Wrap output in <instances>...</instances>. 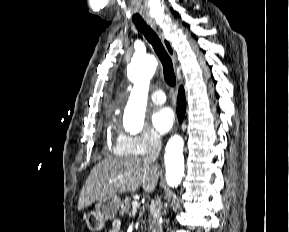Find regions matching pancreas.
<instances>
[{"instance_id": "obj_1", "label": "pancreas", "mask_w": 289, "mask_h": 232, "mask_svg": "<svg viewBox=\"0 0 289 232\" xmlns=\"http://www.w3.org/2000/svg\"><path fill=\"white\" fill-rule=\"evenodd\" d=\"M130 202L131 200L129 198H126L122 203H121V208H120V215H124L127 214L129 212V208H130Z\"/></svg>"}]
</instances>
